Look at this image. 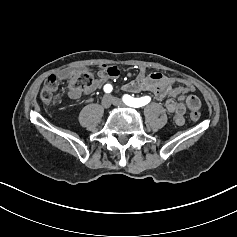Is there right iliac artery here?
Segmentation results:
<instances>
[{
  "label": "right iliac artery",
  "instance_id": "right-iliac-artery-1",
  "mask_svg": "<svg viewBox=\"0 0 237 237\" xmlns=\"http://www.w3.org/2000/svg\"><path fill=\"white\" fill-rule=\"evenodd\" d=\"M112 86L110 85V84H106L105 86H104V91L106 92V93H110L111 91H112Z\"/></svg>",
  "mask_w": 237,
  "mask_h": 237
}]
</instances>
